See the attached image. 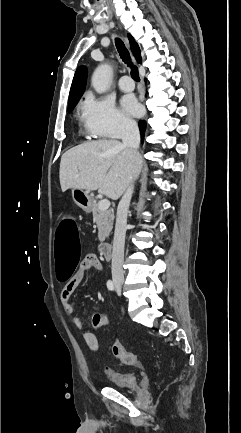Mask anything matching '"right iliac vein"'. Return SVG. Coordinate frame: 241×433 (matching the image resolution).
<instances>
[{
    "label": "right iliac vein",
    "instance_id": "1",
    "mask_svg": "<svg viewBox=\"0 0 241 433\" xmlns=\"http://www.w3.org/2000/svg\"><path fill=\"white\" fill-rule=\"evenodd\" d=\"M116 285H117V287H118L119 289H121V288L123 287V283H122L121 281H118V282L116 283Z\"/></svg>",
    "mask_w": 241,
    "mask_h": 433
}]
</instances>
